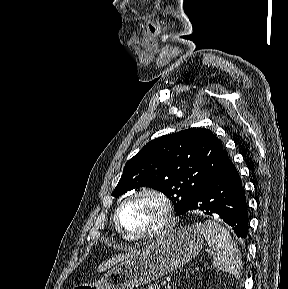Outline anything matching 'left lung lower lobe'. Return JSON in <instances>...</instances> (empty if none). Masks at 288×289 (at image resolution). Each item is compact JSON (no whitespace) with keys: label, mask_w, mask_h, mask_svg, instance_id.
Wrapping results in <instances>:
<instances>
[{"label":"left lung lower lobe","mask_w":288,"mask_h":289,"mask_svg":"<svg viewBox=\"0 0 288 289\" xmlns=\"http://www.w3.org/2000/svg\"><path fill=\"white\" fill-rule=\"evenodd\" d=\"M191 210L218 216L232 227L238 237H247L246 196L237 169L229 158L199 191L185 213Z\"/></svg>","instance_id":"obj_1"}]
</instances>
